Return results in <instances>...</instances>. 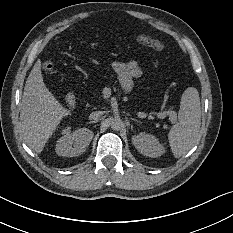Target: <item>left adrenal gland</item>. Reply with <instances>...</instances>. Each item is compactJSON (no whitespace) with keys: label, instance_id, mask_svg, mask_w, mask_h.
<instances>
[{"label":"left adrenal gland","instance_id":"left-adrenal-gland-1","mask_svg":"<svg viewBox=\"0 0 233 233\" xmlns=\"http://www.w3.org/2000/svg\"><path fill=\"white\" fill-rule=\"evenodd\" d=\"M131 120L138 122V120H137V119H134V118H131Z\"/></svg>","mask_w":233,"mask_h":233}]
</instances>
